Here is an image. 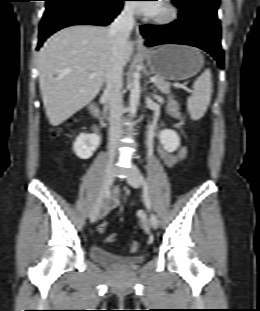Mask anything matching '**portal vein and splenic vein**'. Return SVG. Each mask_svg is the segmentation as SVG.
Returning a JSON list of instances; mask_svg holds the SVG:
<instances>
[{
	"mask_svg": "<svg viewBox=\"0 0 260 311\" xmlns=\"http://www.w3.org/2000/svg\"><path fill=\"white\" fill-rule=\"evenodd\" d=\"M96 75H97V73H92V74L90 75V77H95ZM150 81H151V82H156L157 79H156L155 77H151V78H150Z\"/></svg>",
	"mask_w": 260,
	"mask_h": 311,
	"instance_id": "portal-vein-and-splenic-vein-1",
	"label": "portal vein and splenic vein"
}]
</instances>
